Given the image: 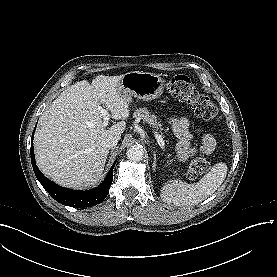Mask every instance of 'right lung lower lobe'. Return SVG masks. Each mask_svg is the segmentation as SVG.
I'll use <instances>...</instances> for the list:
<instances>
[{
  "label": "right lung lower lobe",
  "mask_w": 277,
  "mask_h": 277,
  "mask_svg": "<svg viewBox=\"0 0 277 277\" xmlns=\"http://www.w3.org/2000/svg\"><path fill=\"white\" fill-rule=\"evenodd\" d=\"M34 131H35V128H34ZM33 136H34V132L32 134L31 152H30L31 163L33 166L34 173L37 179L39 180V182L41 183V185L44 187V189L56 201L70 207L85 208V207H91V206L100 204L106 198L109 192V188L113 181V168L116 164V161L110 168V171L108 172L103 183L99 185L97 188L88 190V191H77V190L66 189L50 181L38 169L35 162L34 151H33Z\"/></svg>",
  "instance_id": "obj_1"
}]
</instances>
